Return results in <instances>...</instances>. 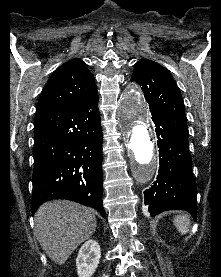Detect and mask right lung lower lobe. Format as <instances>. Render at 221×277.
<instances>
[{"instance_id":"obj_1","label":"right lung lower lobe","mask_w":221,"mask_h":277,"mask_svg":"<svg viewBox=\"0 0 221 277\" xmlns=\"http://www.w3.org/2000/svg\"><path fill=\"white\" fill-rule=\"evenodd\" d=\"M32 215L50 199L102 205V128L98 95L77 105L37 110Z\"/></svg>"}]
</instances>
